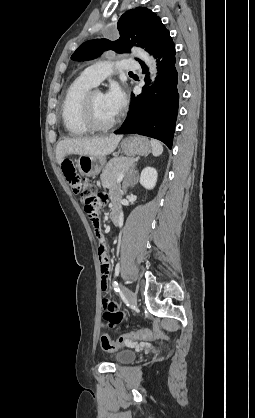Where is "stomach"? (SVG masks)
<instances>
[{
	"mask_svg": "<svg viewBox=\"0 0 255 418\" xmlns=\"http://www.w3.org/2000/svg\"><path fill=\"white\" fill-rule=\"evenodd\" d=\"M120 148L127 156L147 155L150 152L151 144L145 137L132 136L124 139ZM105 162V156H80L77 161V168L81 175L94 177L99 174Z\"/></svg>",
	"mask_w": 255,
	"mask_h": 418,
	"instance_id": "stomach-1",
	"label": "stomach"
}]
</instances>
